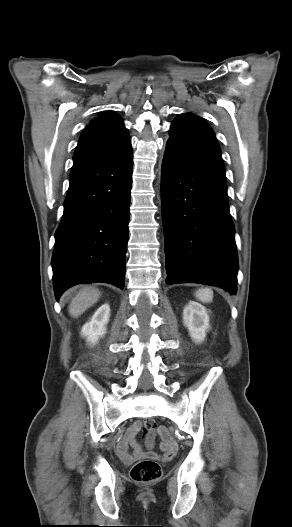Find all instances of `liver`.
I'll return each mask as SVG.
<instances>
[{
  "instance_id": "1",
  "label": "liver",
  "mask_w": 292,
  "mask_h": 527,
  "mask_svg": "<svg viewBox=\"0 0 292 527\" xmlns=\"http://www.w3.org/2000/svg\"><path fill=\"white\" fill-rule=\"evenodd\" d=\"M101 296L100 291L95 287H85L72 298L69 305V314L77 318L88 308L93 306Z\"/></svg>"
}]
</instances>
